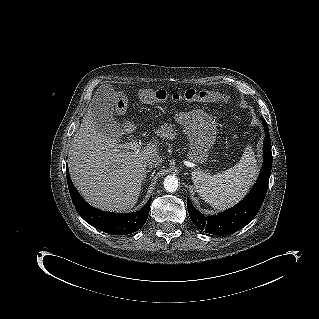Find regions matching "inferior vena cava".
<instances>
[{
	"mask_svg": "<svg viewBox=\"0 0 319 319\" xmlns=\"http://www.w3.org/2000/svg\"><path fill=\"white\" fill-rule=\"evenodd\" d=\"M162 162V157L159 154H154L146 160V166L148 168H154L159 166Z\"/></svg>",
	"mask_w": 319,
	"mask_h": 319,
	"instance_id": "602c4592",
	"label": "inferior vena cava"
}]
</instances>
